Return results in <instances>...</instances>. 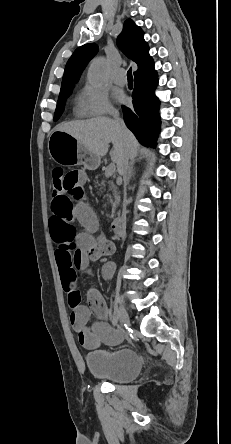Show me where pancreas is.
<instances>
[{"label":"pancreas","mask_w":231,"mask_h":444,"mask_svg":"<svg viewBox=\"0 0 231 444\" xmlns=\"http://www.w3.org/2000/svg\"><path fill=\"white\" fill-rule=\"evenodd\" d=\"M114 197H115V201H114V207L116 206V204L118 203V201H119V195H118V193L114 190Z\"/></svg>","instance_id":"cf45deb5"}]
</instances>
